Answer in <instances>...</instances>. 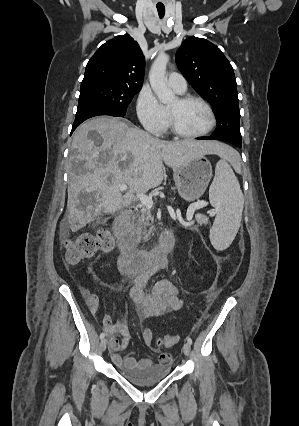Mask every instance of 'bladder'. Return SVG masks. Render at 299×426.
<instances>
[{
	"label": "bladder",
	"mask_w": 299,
	"mask_h": 426,
	"mask_svg": "<svg viewBox=\"0 0 299 426\" xmlns=\"http://www.w3.org/2000/svg\"><path fill=\"white\" fill-rule=\"evenodd\" d=\"M120 374L129 382L141 387L153 386L165 379L170 368L168 366H149L135 369H121Z\"/></svg>",
	"instance_id": "1"
}]
</instances>
